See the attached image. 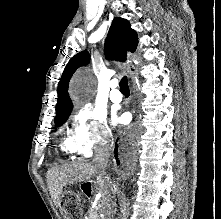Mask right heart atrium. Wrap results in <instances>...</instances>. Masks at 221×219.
I'll use <instances>...</instances> for the list:
<instances>
[{
	"label": "right heart atrium",
	"instance_id": "d8ad5b80",
	"mask_svg": "<svg viewBox=\"0 0 221 219\" xmlns=\"http://www.w3.org/2000/svg\"><path fill=\"white\" fill-rule=\"evenodd\" d=\"M110 130L104 115L89 107L75 110L72 119V141L79 154L89 156L105 147L110 140Z\"/></svg>",
	"mask_w": 221,
	"mask_h": 219
}]
</instances>
